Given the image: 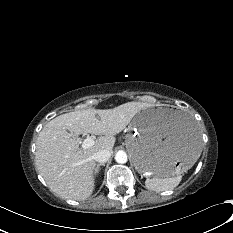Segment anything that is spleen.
<instances>
[{
    "label": "spleen",
    "mask_w": 233,
    "mask_h": 233,
    "mask_svg": "<svg viewBox=\"0 0 233 233\" xmlns=\"http://www.w3.org/2000/svg\"><path fill=\"white\" fill-rule=\"evenodd\" d=\"M181 178H182V176L180 173H178L174 176H168V177H164V178L154 177L151 179H147L145 181V185H146L147 189H149V190L160 192V191L173 189L174 187H176L179 184V182L181 181Z\"/></svg>",
    "instance_id": "obj_1"
}]
</instances>
